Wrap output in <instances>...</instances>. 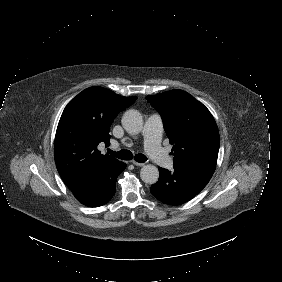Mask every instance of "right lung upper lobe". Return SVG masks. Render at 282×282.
<instances>
[{
	"instance_id": "obj_1",
	"label": "right lung upper lobe",
	"mask_w": 282,
	"mask_h": 282,
	"mask_svg": "<svg viewBox=\"0 0 282 282\" xmlns=\"http://www.w3.org/2000/svg\"><path fill=\"white\" fill-rule=\"evenodd\" d=\"M136 99L94 86L83 90L66 106L56 131L54 157L69 189L92 172L119 163L112 156L101 154L97 146L100 142L109 143L114 118Z\"/></svg>"
}]
</instances>
